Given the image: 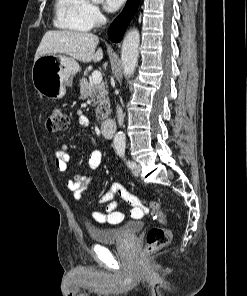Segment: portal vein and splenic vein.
<instances>
[{
  "label": "portal vein and splenic vein",
  "mask_w": 247,
  "mask_h": 296,
  "mask_svg": "<svg viewBox=\"0 0 247 296\" xmlns=\"http://www.w3.org/2000/svg\"><path fill=\"white\" fill-rule=\"evenodd\" d=\"M102 82V74L100 71L95 70L92 73V83L93 84H100Z\"/></svg>",
  "instance_id": "portal-vein-and-splenic-vein-1"
}]
</instances>
